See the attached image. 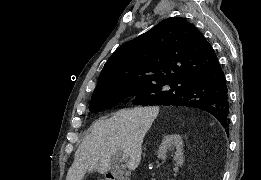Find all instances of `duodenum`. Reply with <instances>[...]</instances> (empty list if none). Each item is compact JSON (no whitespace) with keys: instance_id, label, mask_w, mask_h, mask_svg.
I'll list each match as a JSON object with an SVG mask.
<instances>
[{"instance_id":"obj_1","label":"duodenum","mask_w":261,"mask_h":180,"mask_svg":"<svg viewBox=\"0 0 261 180\" xmlns=\"http://www.w3.org/2000/svg\"><path fill=\"white\" fill-rule=\"evenodd\" d=\"M106 180H129V177H121V173H106Z\"/></svg>"}]
</instances>
